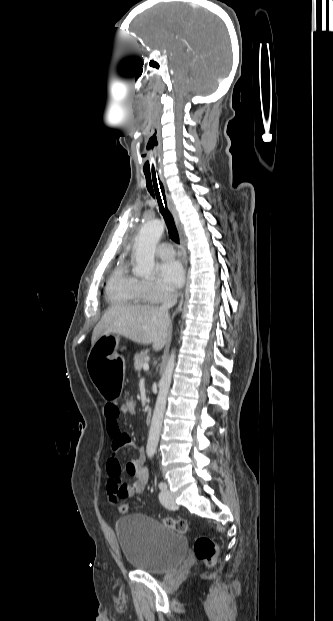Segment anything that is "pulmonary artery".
<instances>
[{"label": "pulmonary artery", "instance_id": "1", "mask_svg": "<svg viewBox=\"0 0 333 621\" xmlns=\"http://www.w3.org/2000/svg\"><path fill=\"white\" fill-rule=\"evenodd\" d=\"M157 255L162 259H172L174 257V249L168 242H162L157 247Z\"/></svg>", "mask_w": 333, "mask_h": 621}]
</instances>
